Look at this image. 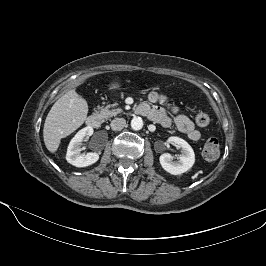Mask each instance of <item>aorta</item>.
<instances>
[{"mask_svg": "<svg viewBox=\"0 0 266 266\" xmlns=\"http://www.w3.org/2000/svg\"><path fill=\"white\" fill-rule=\"evenodd\" d=\"M143 127V120L140 117H134L131 120V128L133 130H140Z\"/></svg>", "mask_w": 266, "mask_h": 266, "instance_id": "762f6f07", "label": "aorta"}]
</instances>
